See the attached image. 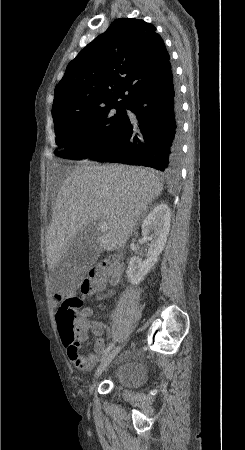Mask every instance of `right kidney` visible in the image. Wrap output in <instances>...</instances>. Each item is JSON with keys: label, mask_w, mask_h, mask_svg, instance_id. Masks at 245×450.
<instances>
[{"label": "right kidney", "mask_w": 245, "mask_h": 450, "mask_svg": "<svg viewBox=\"0 0 245 450\" xmlns=\"http://www.w3.org/2000/svg\"><path fill=\"white\" fill-rule=\"evenodd\" d=\"M170 208L161 203L146 216L142 222V234L150 241L147 258L142 260L138 256L130 259L127 276L133 285L144 280L151 268L158 261L162 253L170 230ZM152 232V235L150 233Z\"/></svg>", "instance_id": "obj_1"}]
</instances>
